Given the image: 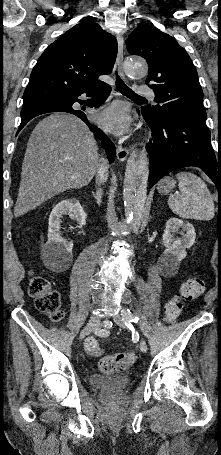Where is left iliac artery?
Returning a JSON list of instances; mask_svg holds the SVG:
<instances>
[{"label":"left iliac artery","instance_id":"left-iliac-artery-1","mask_svg":"<svg viewBox=\"0 0 221 455\" xmlns=\"http://www.w3.org/2000/svg\"><path fill=\"white\" fill-rule=\"evenodd\" d=\"M121 315H122L123 320H124L125 323H128V322H129V323H130V322H135V323H137L138 320H139L138 317H135V316L131 313V311H130L129 309H126V308L123 309V310L121 311Z\"/></svg>","mask_w":221,"mask_h":455}]
</instances>
